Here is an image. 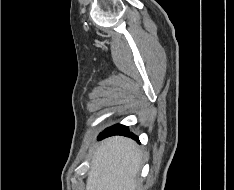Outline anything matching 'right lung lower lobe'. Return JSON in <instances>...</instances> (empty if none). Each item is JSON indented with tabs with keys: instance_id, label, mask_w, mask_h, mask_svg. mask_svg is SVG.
<instances>
[{
	"instance_id": "obj_1",
	"label": "right lung lower lobe",
	"mask_w": 234,
	"mask_h": 190,
	"mask_svg": "<svg viewBox=\"0 0 234 190\" xmlns=\"http://www.w3.org/2000/svg\"><path fill=\"white\" fill-rule=\"evenodd\" d=\"M113 135H123L127 137H131L133 139H136L138 141V137L135 136L132 132L129 131L127 126L116 124L113 125L107 129H105L98 137V140L104 139L109 136Z\"/></svg>"
}]
</instances>
